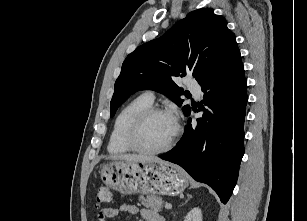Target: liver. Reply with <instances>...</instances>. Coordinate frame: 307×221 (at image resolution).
Listing matches in <instances>:
<instances>
[{"label": "liver", "instance_id": "1", "mask_svg": "<svg viewBox=\"0 0 307 221\" xmlns=\"http://www.w3.org/2000/svg\"><path fill=\"white\" fill-rule=\"evenodd\" d=\"M112 160L119 161H132V162H150L161 161L160 159L152 156L136 155V154H121L109 157Z\"/></svg>", "mask_w": 307, "mask_h": 221}]
</instances>
